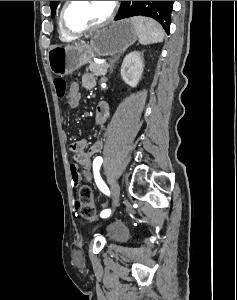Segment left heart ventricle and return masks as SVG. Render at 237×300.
Listing matches in <instances>:
<instances>
[{"mask_svg": "<svg viewBox=\"0 0 237 300\" xmlns=\"http://www.w3.org/2000/svg\"><path fill=\"white\" fill-rule=\"evenodd\" d=\"M111 10V1H71L66 11V24L82 30L103 21Z\"/></svg>", "mask_w": 237, "mask_h": 300, "instance_id": "1", "label": "left heart ventricle"}]
</instances>
